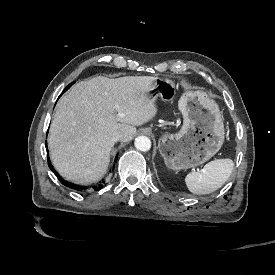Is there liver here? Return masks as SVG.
Instances as JSON below:
<instances>
[{"mask_svg": "<svg viewBox=\"0 0 275 275\" xmlns=\"http://www.w3.org/2000/svg\"><path fill=\"white\" fill-rule=\"evenodd\" d=\"M151 76H103L81 81L57 103L50 126L48 148L53 166L66 180L88 185L107 172L112 134L121 132L126 142L135 126L157 113L147 92Z\"/></svg>", "mask_w": 275, "mask_h": 275, "instance_id": "liver-1", "label": "liver"}]
</instances>
